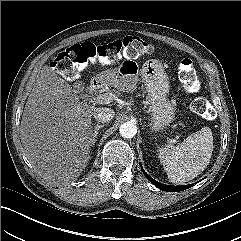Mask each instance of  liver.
<instances>
[{
    "label": "liver",
    "mask_w": 241,
    "mask_h": 241,
    "mask_svg": "<svg viewBox=\"0 0 241 241\" xmlns=\"http://www.w3.org/2000/svg\"><path fill=\"white\" fill-rule=\"evenodd\" d=\"M78 93L45 65L25 104L20 124L24 153L51 184L76 180L90 159L96 105L80 102Z\"/></svg>",
    "instance_id": "liver-1"
}]
</instances>
